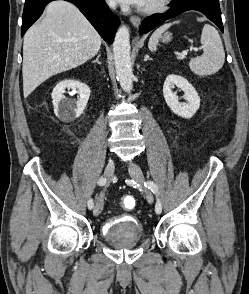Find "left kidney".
Wrapping results in <instances>:
<instances>
[{
	"instance_id": "5707ae66",
	"label": "left kidney",
	"mask_w": 249,
	"mask_h": 294,
	"mask_svg": "<svg viewBox=\"0 0 249 294\" xmlns=\"http://www.w3.org/2000/svg\"><path fill=\"white\" fill-rule=\"evenodd\" d=\"M177 86L184 92L183 99L187 102L180 103L179 97L172 89ZM163 96L169 108L182 118H191L200 107V97L195 88L182 76L170 74L163 85Z\"/></svg>"
}]
</instances>
